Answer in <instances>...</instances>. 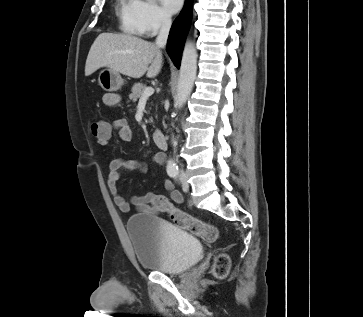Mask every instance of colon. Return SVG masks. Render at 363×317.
Listing matches in <instances>:
<instances>
[{"label":"colon","instance_id":"obj_1","mask_svg":"<svg viewBox=\"0 0 363 317\" xmlns=\"http://www.w3.org/2000/svg\"><path fill=\"white\" fill-rule=\"evenodd\" d=\"M105 130V122L93 121L90 124V131L94 136L101 135ZM170 218L181 228L196 234L203 240L212 242L218 238L217 229L206 222L194 218L186 213L181 212L174 206H168ZM229 259L225 254H219L213 263L212 273L217 278H223L229 271Z\"/></svg>","mask_w":363,"mask_h":317}]
</instances>
